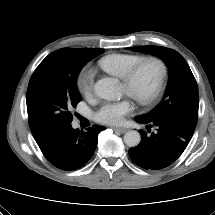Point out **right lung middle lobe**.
Segmentation results:
<instances>
[{
  "instance_id": "obj_1",
  "label": "right lung middle lobe",
  "mask_w": 215,
  "mask_h": 215,
  "mask_svg": "<svg viewBox=\"0 0 215 215\" xmlns=\"http://www.w3.org/2000/svg\"><path fill=\"white\" fill-rule=\"evenodd\" d=\"M104 49L62 48L34 71L27 90L29 125L38 145L71 125L72 108L81 101L76 81L82 67Z\"/></svg>"
}]
</instances>
